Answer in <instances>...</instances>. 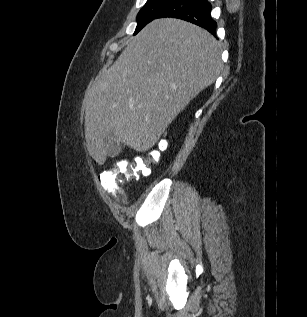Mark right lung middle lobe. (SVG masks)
Here are the masks:
<instances>
[{"label":"right lung middle lobe","instance_id":"dd1d6c3e","mask_svg":"<svg viewBox=\"0 0 307 317\" xmlns=\"http://www.w3.org/2000/svg\"><path fill=\"white\" fill-rule=\"evenodd\" d=\"M173 0H148L137 15V27L135 33H138L146 24L157 18Z\"/></svg>","mask_w":307,"mask_h":317}]
</instances>
